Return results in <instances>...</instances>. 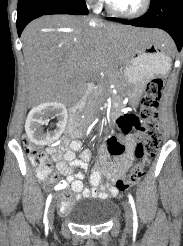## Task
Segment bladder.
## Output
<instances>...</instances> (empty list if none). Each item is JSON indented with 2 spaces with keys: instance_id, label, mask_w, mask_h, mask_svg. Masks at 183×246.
<instances>
[{
  "instance_id": "bladder-1",
  "label": "bladder",
  "mask_w": 183,
  "mask_h": 246,
  "mask_svg": "<svg viewBox=\"0 0 183 246\" xmlns=\"http://www.w3.org/2000/svg\"><path fill=\"white\" fill-rule=\"evenodd\" d=\"M116 212L117 206L113 201L108 198H94V201L73 211L69 218L77 225L101 226L109 222Z\"/></svg>"
}]
</instances>
